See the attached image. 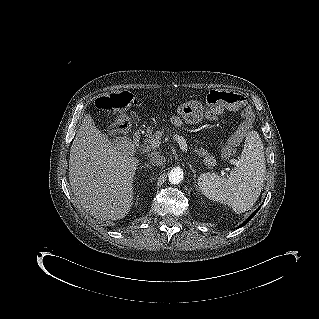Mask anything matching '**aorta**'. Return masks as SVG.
<instances>
[{
    "mask_svg": "<svg viewBox=\"0 0 319 319\" xmlns=\"http://www.w3.org/2000/svg\"><path fill=\"white\" fill-rule=\"evenodd\" d=\"M183 177V171L180 168H173L168 174L169 182L172 184H179Z\"/></svg>",
    "mask_w": 319,
    "mask_h": 319,
    "instance_id": "1",
    "label": "aorta"
}]
</instances>
